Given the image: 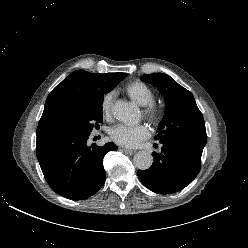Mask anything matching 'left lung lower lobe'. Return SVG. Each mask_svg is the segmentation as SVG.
<instances>
[{
  "label": "left lung lower lobe",
  "mask_w": 248,
  "mask_h": 248,
  "mask_svg": "<svg viewBox=\"0 0 248 248\" xmlns=\"http://www.w3.org/2000/svg\"><path fill=\"white\" fill-rule=\"evenodd\" d=\"M162 152H153L154 163L147 170H138L140 181L149 190L171 194L188 186L198 175L201 156L183 144L162 143Z\"/></svg>",
  "instance_id": "0a47b994"
}]
</instances>
